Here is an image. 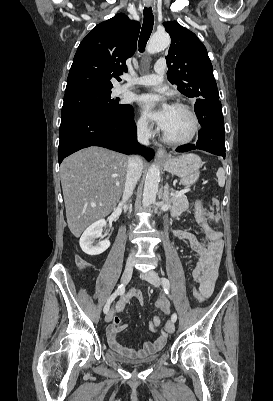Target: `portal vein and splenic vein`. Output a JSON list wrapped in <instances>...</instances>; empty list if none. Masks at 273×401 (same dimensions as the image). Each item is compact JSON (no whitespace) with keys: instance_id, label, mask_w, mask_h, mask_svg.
I'll return each mask as SVG.
<instances>
[{"instance_id":"obj_1","label":"portal vein and splenic vein","mask_w":273,"mask_h":401,"mask_svg":"<svg viewBox=\"0 0 273 401\" xmlns=\"http://www.w3.org/2000/svg\"><path fill=\"white\" fill-rule=\"evenodd\" d=\"M187 190H189V188H184V190L179 189L178 190V195H175V198H179L183 196V192H187Z\"/></svg>"}]
</instances>
